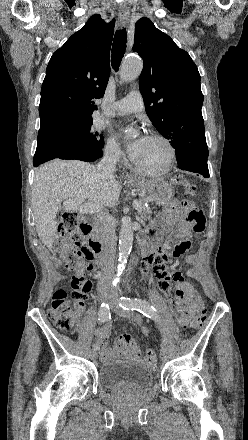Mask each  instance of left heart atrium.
Wrapping results in <instances>:
<instances>
[{
	"mask_svg": "<svg viewBox=\"0 0 248 440\" xmlns=\"http://www.w3.org/2000/svg\"><path fill=\"white\" fill-rule=\"evenodd\" d=\"M147 140L148 137L144 133L140 132L135 139L129 142L127 148L132 160H135L139 157L145 147Z\"/></svg>",
	"mask_w": 248,
	"mask_h": 440,
	"instance_id": "1",
	"label": "left heart atrium"
}]
</instances>
